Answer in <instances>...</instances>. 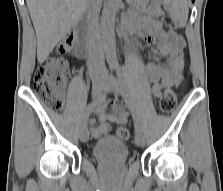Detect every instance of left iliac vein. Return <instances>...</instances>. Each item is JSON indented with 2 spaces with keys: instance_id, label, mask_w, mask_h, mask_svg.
<instances>
[{
  "instance_id": "1",
  "label": "left iliac vein",
  "mask_w": 223,
  "mask_h": 191,
  "mask_svg": "<svg viewBox=\"0 0 223 191\" xmlns=\"http://www.w3.org/2000/svg\"><path fill=\"white\" fill-rule=\"evenodd\" d=\"M105 89L114 92L117 95H123L124 89L119 80H117L114 76H107L105 79ZM145 143L143 133L140 131H136L135 133V144L139 147H142Z\"/></svg>"
}]
</instances>
